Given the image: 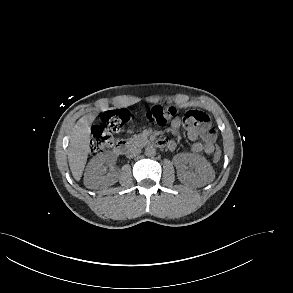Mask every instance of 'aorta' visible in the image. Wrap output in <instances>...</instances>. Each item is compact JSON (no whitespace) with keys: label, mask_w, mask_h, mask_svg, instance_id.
<instances>
[{"label":"aorta","mask_w":293,"mask_h":293,"mask_svg":"<svg viewBox=\"0 0 293 293\" xmlns=\"http://www.w3.org/2000/svg\"><path fill=\"white\" fill-rule=\"evenodd\" d=\"M145 155L148 157H154L156 155V149L153 146H147L145 149Z\"/></svg>","instance_id":"762f6f07"}]
</instances>
